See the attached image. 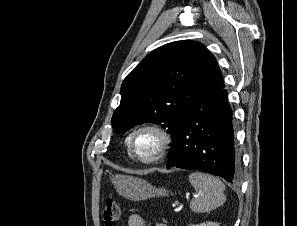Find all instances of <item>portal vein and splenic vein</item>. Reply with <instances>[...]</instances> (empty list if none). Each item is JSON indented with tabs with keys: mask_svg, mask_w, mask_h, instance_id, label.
Wrapping results in <instances>:
<instances>
[{
	"mask_svg": "<svg viewBox=\"0 0 297 226\" xmlns=\"http://www.w3.org/2000/svg\"><path fill=\"white\" fill-rule=\"evenodd\" d=\"M175 205H177V206H178V205H179V201H176V202H175Z\"/></svg>",
	"mask_w": 297,
	"mask_h": 226,
	"instance_id": "portal-vein-and-splenic-vein-1",
	"label": "portal vein and splenic vein"
}]
</instances>
